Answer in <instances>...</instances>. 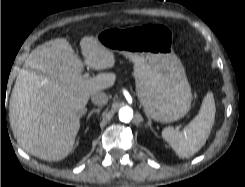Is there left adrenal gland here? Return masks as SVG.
Here are the masks:
<instances>
[{"label": "left adrenal gland", "mask_w": 245, "mask_h": 187, "mask_svg": "<svg viewBox=\"0 0 245 187\" xmlns=\"http://www.w3.org/2000/svg\"><path fill=\"white\" fill-rule=\"evenodd\" d=\"M146 126L149 127L153 131L152 125H151V120L150 119H148V123H147Z\"/></svg>", "instance_id": "obj_1"}]
</instances>
